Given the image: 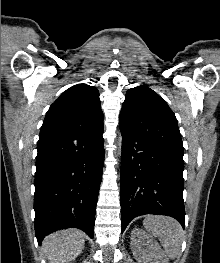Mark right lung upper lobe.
I'll return each instance as SVG.
<instances>
[{"instance_id":"right-lung-upper-lobe-1","label":"right lung upper lobe","mask_w":220,"mask_h":263,"mask_svg":"<svg viewBox=\"0 0 220 263\" xmlns=\"http://www.w3.org/2000/svg\"><path fill=\"white\" fill-rule=\"evenodd\" d=\"M103 129L99 92L78 84L63 92L44 119L39 141L74 138Z\"/></svg>"}]
</instances>
